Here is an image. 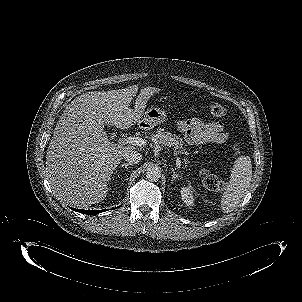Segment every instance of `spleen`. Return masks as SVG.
Here are the masks:
<instances>
[{
    "mask_svg": "<svg viewBox=\"0 0 302 302\" xmlns=\"http://www.w3.org/2000/svg\"><path fill=\"white\" fill-rule=\"evenodd\" d=\"M252 178V165L249 156L239 157L233 166L229 184L221 196V210L232 211L246 194Z\"/></svg>",
    "mask_w": 302,
    "mask_h": 302,
    "instance_id": "3e777b00",
    "label": "spleen"
}]
</instances>
